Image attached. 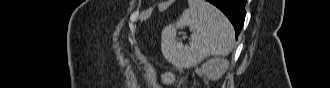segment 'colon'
Wrapping results in <instances>:
<instances>
[{"mask_svg":"<svg viewBox=\"0 0 330 88\" xmlns=\"http://www.w3.org/2000/svg\"><path fill=\"white\" fill-rule=\"evenodd\" d=\"M164 83H170L173 80V75L170 72H165L162 76Z\"/></svg>","mask_w":330,"mask_h":88,"instance_id":"obj_1","label":"colon"}]
</instances>
